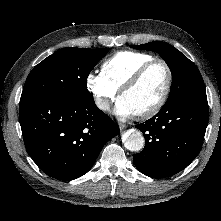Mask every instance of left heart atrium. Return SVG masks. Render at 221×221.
<instances>
[{
  "label": "left heart atrium",
  "instance_id": "obj_1",
  "mask_svg": "<svg viewBox=\"0 0 221 221\" xmlns=\"http://www.w3.org/2000/svg\"><path fill=\"white\" fill-rule=\"evenodd\" d=\"M114 113L123 118H128L134 115V112L130 106L121 98H119L116 103Z\"/></svg>",
  "mask_w": 221,
  "mask_h": 221
}]
</instances>
